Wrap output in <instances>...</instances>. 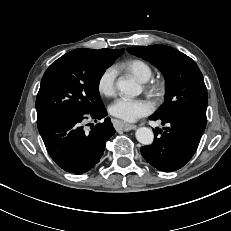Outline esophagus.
Returning <instances> with one entry per match:
<instances>
[{"label": "esophagus", "mask_w": 231, "mask_h": 231, "mask_svg": "<svg viewBox=\"0 0 231 231\" xmlns=\"http://www.w3.org/2000/svg\"><path fill=\"white\" fill-rule=\"evenodd\" d=\"M137 126L134 124H128V123H116L115 128L117 130H124V131H130L135 129Z\"/></svg>", "instance_id": "esophagus-1"}]
</instances>
